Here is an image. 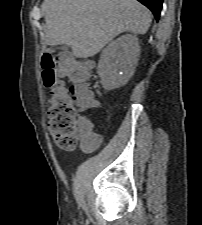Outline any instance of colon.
<instances>
[{
	"instance_id": "colon-1",
	"label": "colon",
	"mask_w": 202,
	"mask_h": 225,
	"mask_svg": "<svg viewBox=\"0 0 202 225\" xmlns=\"http://www.w3.org/2000/svg\"><path fill=\"white\" fill-rule=\"evenodd\" d=\"M41 70L44 85L51 89L47 129L56 146L63 151H70L77 144L86 149L93 147L99 139L93 136L89 126L77 123L78 96L84 94L91 97L90 75L82 61L47 51L41 60ZM64 79L69 84H65ZM92 104L98 107L96 100Z\"/></svg>"
}]
</instances>
